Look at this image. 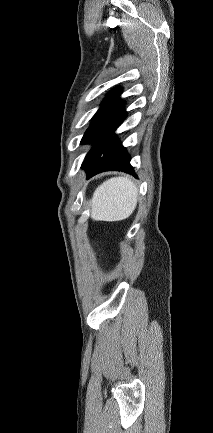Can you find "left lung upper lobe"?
Instances as JSON below:
<instances>
[{"mask_svg":"<svg viewBox=\"0 0 213 433\" xmlns=\"http://www.w3.org/2000/svg\"><path fill=\"white\" fill-rule=\"evenodd\" d=\"M120 91L121 88H116L109 93L81 140V144L93 143V149L88 152L82 164L83 168L96 157L110 134L127 114L119 102Z\"/></svg>","mask_w":213,"mask_h":433,"instance_id":"5c2ea615","label":"left lung upper lobe"}]
</instances>
